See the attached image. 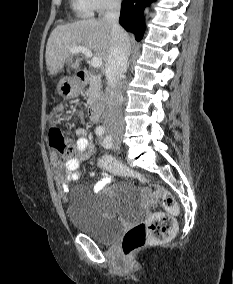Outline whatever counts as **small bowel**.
Instances as JSON below:
<instances>
[{"label":"small bowel","mask_w":233,"mask_h":284,"mask_svg":"<svg viewBox=\"0 0 233 284\" xmlns=\"http://www.w3.org/2000/svg\"><path fill=\"white\" fill-rule=\"evenodd\" d=\"M74 134L78 137L76 141V151L67 156L64 163L53 158L54 180L62 192H66L69 183L79 179L78 170L82 162L86 161L95 154L94 143L88 137L83 128L74 129ZM97 174L96 170L90 173L93 177ZM108 183V176H103L95 185V190L99 191Z\"/></svg>","instance_id":"small-bowel-1"}]
</instances>
